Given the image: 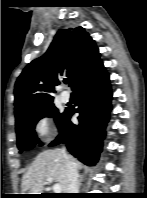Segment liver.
I'll return each mask as SVG.
<instances>
[{
    "label": "liver",
    "mask_w": 147,
    "mask_h": 198,
    "mask_svg": "<svg viewBox=\"0 0 147 198\" xmlns=\"http://www.w3.org/2000/svg\"><path fill=\"white\" fill-rule=\"evenodd\" d=\"M75 167H81L80 162L67 155ZM47 178L58 182L66 193V159L60 149H48L37 155L27 172L22 177V194H41ZM29 192V193H26Z\"/></svg>",
    "instance_id": "6515ba94"
}]
</instances>
